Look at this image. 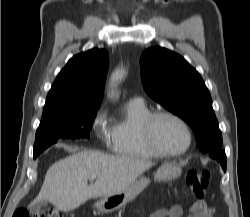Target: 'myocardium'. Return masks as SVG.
<instances>
[{
    "mask_svg": "<svg viewBox=\"0 0 250 217\" xmlns=\"http://www.w3.org/2000/svg\"><path fill=\"white\" fill-rule=\"evenodd\" d=\"M161 118H169L176 122H178L185 130L188 138L187 145L184 149L180 151H167L163 149L160 144L158 143L156 136H155V125L156 122ZM143 137L147 143V145L160 157H177L185 154L192 145V132L188 125V123L179 115L167 111V110H157L151 112L142 122L141 125Z\"/></svg>",
    "mask_w": 250,
    "mask_h": 217,
    "instance_id": "obj_1",
    "label": "myocardium"
}]
</instances>
